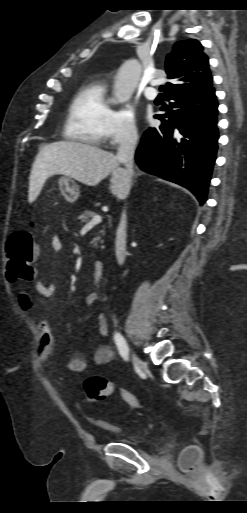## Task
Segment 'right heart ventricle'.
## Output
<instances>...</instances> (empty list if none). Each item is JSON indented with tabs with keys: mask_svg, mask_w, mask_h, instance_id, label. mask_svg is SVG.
I'll use <instances>...</instances> for the list:
<instances>
[{
	"mask_svg": "<svg viewBox=\"0 0 247 513\" xmlns=\"http://www.w3.org/2000/svg\"><path fill=\"white\" fill-rule=\"evenodd\" d=\"M111 111L103 81L83 84L70 102L63 137L73 142L101 145L105 141L104 134Z\"/></svg>",
	"mask_w": 247,
	"mask_h": 513,
	"instance_id": "1",
	"label": "right heart ventricle"
}]
</instances>
